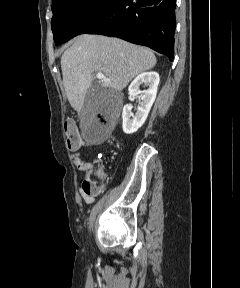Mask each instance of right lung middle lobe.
<instances>
[{
	"label": "right lung middle lobe",
	"instance_id": "dd1d6c3e",
	"mask_svg": "<svg viewBox=\"0 0 240 288\" xmlns=\"http://www.w3.org/2000/svg\"><path fill=\"white\" fill-rule=\"evenodd\" d=\"M112 0H53L51 20L55 44L80 34Z\"/></svg>",
	"mask_w": 240,
	"mask_h": 288
}]
</instances>
